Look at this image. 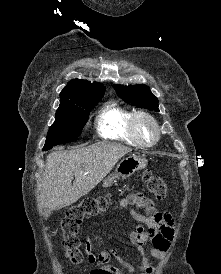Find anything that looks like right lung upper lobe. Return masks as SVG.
Here are the masks:
<instances>
[{
	"instance_id": "obj_1",
	"label": "right lung upper lobe",
	"mask_w": 221,
	"mask_h": 274,
	"mask_svg": "<svg viewBox=\"0 0 221 274\" xmlns=\"http://www.w3.org/2000/svg\"><path fill=\"white\" fill-rule=\"evenodd\" d=\"M105 89L102 83L73 79L61 91L60 101L61 103L72 102L79 98L104 94Z\"/></svg>"
}]
</instances>
